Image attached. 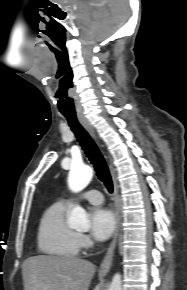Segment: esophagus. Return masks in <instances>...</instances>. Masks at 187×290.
Here are the masks:
<instances>
[{"label":"esophagus","mask_w":187,"mask_h":290,"mask_svg":"<svg viewBox=\"0 0 187 290\" xmlns=\"http://www.w3.org/2000/svg\"><path fill=\"white\" fill-rule=\"evenodd\" d=\"M77 117L81 125L90 133V135L95 140H97L95 130L90 124V122L88 121V119L85 117V115L82 113H78ZM109 167H110V172L112 175L113 188H114L113 199H114V204H115L116 228H115L113 239L100 265L99 273L102 275L107 274L108 271L110 270V267L112 265L113 254H114V250L117 244V239H118L119 230H120V206H119V197H118V182H117L115 170L113 169L111 164L109 165Z\"/></svg>","instance_id":"34e87169"}]
</instances>
